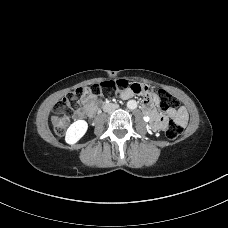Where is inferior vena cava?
<instances>
[{
    "label": "inferior vena cava",
    "instance_id": "obj_1",
    "mask_svg": "<svg viewBox=\"0 0 228 228\" xmlns=\"http://www.w3.org/2000/svg\"><path fill=\"white\" fill-rule=\"evenodd\" d=\"M118 107H119L118 104H113V103L106 104L103 107V111L110 113V112L114 111L115 109H118Z\"/></svg>",
    "mask_w": 228,
    "mask_h": 228
}]
</instances>
